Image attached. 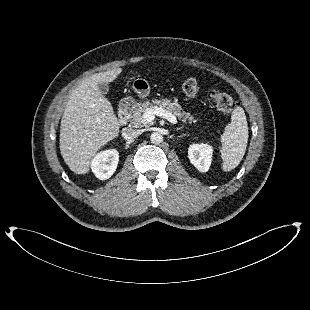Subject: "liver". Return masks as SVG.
I'll list each match as a JSON object with an SVG mask.
<instances>
[{
    "label": "liver",
    "instance_id": "6515ba94",
    "mask_svg": "<svg viewBox=\"0 0 310 310\" xmlns=\"http://www.w3.org/2000/svg\"><path fill=\"white\" fill-rule=\"evenodd\" d=\"M121 68L95 73L70 94L60 126V152L76 174L90 170L91 159L108 142L118 137L119 122L110 101L99 91V83L118 77Z\"/></svg>",
    "mask_w": 310,
    "mask_h": 310
}]
</instances>
